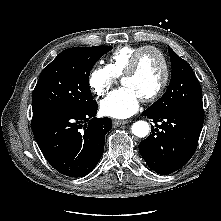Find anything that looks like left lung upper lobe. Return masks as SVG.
I'll use <instances>...</instances> for the list:
<instances>
[{
  "instance_id": "1",
  "label": "left lung upper lobe",
  "mask_w": 221,
  "mask_h": 221,
  "mask_svg": "<svg viewBox=\"0 0 221 221\" xmlns=\"http://www.w3.org/2000/svg\"><path fill=\"white\" fill-rule=\"evenodd\" d=\"M172 75L165 94L147 111L153 114L177 110H203L202 89L191 66L170 47Z\"/></svg>"
}]
</instances>
